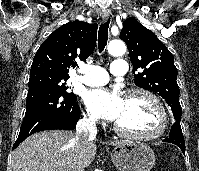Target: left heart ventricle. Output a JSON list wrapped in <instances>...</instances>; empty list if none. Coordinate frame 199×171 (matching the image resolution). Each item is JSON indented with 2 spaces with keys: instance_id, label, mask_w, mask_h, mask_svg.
<instances>
[{
  "instance_id": "obj_1",
  "label": "left heart ventricle",
  "mask_w": 199,
  "mask_h": 171,
  "mask_svg": "<svg viewBox=\"0 0 199 171\" xmlns=\"http://www.w3.org/2000/svg\"><path fill=\"white\" fill-rule=\"evenodd\" d=\"M116 123L132 133H153L159 126L158 113L152 102L136 94L124 99V105Z\"/></svg>"
}]
</instances>
